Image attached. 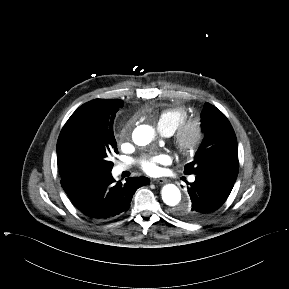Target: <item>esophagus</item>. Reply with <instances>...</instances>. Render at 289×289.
<instances>
[{
	"mask_svg": "<svg viewBox=\"0 0 289 289\" xmlns=\"http://www.w3.org/2000/svg\"><path fill=\"white\" fill-rule=\"evenodd\" d=\"M154 182L159 183V184H164L167 182V179L165 178H158V179H153Z\"/></svg>",
	"mask_w": 289,
	"mask_h": 289,
	"instance_id": "esophagus-1",
	"label": "esophagus"
}]
</instances>
